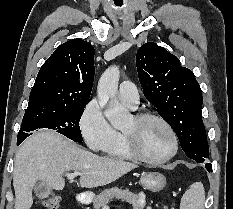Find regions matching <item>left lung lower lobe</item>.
Instances as JSON below:
<instances>
[{"label": "left lung lower lobe", "mask_w": 233, "mask_h": 209, "mask_svg": "<svg viewBox=\"0 0 233 209\" xmlns=\"http://www.w3.org/2000/svg\"><path fill=\"white\" fill-rule=\"evenodd\" d=\"M205 167L209 172H212V165L210 163H206Z\"/></svg>", "instance_id": "0a47b994"}]
</instances>
